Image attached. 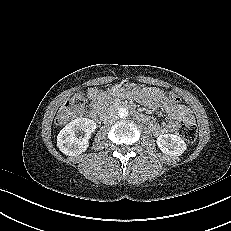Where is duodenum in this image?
<instances>
[{
    "label": "duodenum",
    "instance_id": "1",
    "mask_svg": "<svg viewBox=\"0 0 231 231\" xmlns=\"http://www.w3.org/2000/svg\"><path fill=\"white\" fill-rule=\"evenodd\" d=\"M126 106H128L126 103L119 101L116 102L113 106L97 107L96 110L91 113V117L94 121L101 122L114 109H120ZM138 117L141 118L142 115H138Z\"/></svg>",
    "mask_w": 231,
    "mask_h": 231
}]
</instances>
